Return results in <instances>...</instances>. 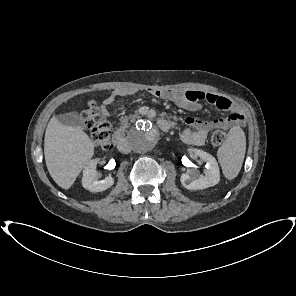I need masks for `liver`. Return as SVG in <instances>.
I'll list each match as a JSON object with an SVG mask.
<instances>
[{
    "label": "liver",
    "mask_w": 296,
    "mask_h": 296,
    "mask_svg": "<svg viewBox=\"0 0 296 296\" xmlns=\"http://www.w3.org/2000/svg\"><path fill=\"white\" fill-rule=\"evenodd\" d=\"M94 154V143L80 128L65 126L53 116L46 128L44 155L53 180L69 189Z\"/></svg>",
    "instance_id": "1"
}]
</instances>
